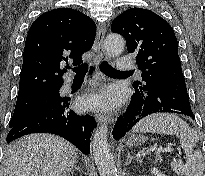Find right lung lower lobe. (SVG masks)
<instances>
[{
  "label": "right lung lower lobe",
  "instance_id": "obj_1",
  "mask_svg": "<svg viewBox=\"0 0 205 176\" xmlns=\"http://www.w3.org/2000/svg\"><path fill=\"white\" fill-rule=\"evenodd\" d=\"M70 98L54 97L40 105L19 124L12 127L7 143L31 133L59 135L74 144L82 153H90V135L97 126L94 117L79 116L69 109Z\"/></svg>",
  "mask_w": 205,
  "mask_h": 176
}]
</instances>
